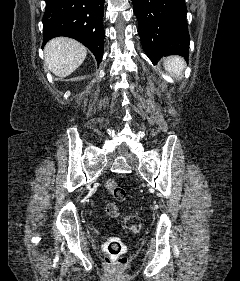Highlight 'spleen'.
<instances>
[{"label": "spleen", "mask_w": 240, "mask_h": 281, "mask_svg": "<svg viewBox=\"0 0 240 281\" xmlns=\"http://www.w3.org/2000/svg\"><path fill=\"white\" fill-rule=\"evenodd\" d=\"M164 67L170 74L181 75L185 67V61L179 56H170L164 60Z\"/></svg>", "instance_id": "obj_1"}]
</instances>
